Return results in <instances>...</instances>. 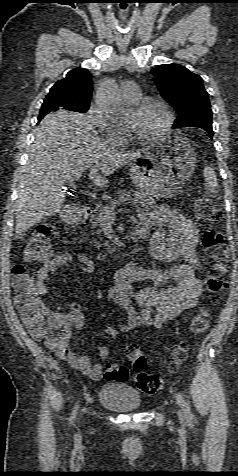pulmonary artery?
Wrapping results in <instances>:
<instances>
[{
  "instance_id": "pulmonary-artery-1",
  "label": "pulmonary artery",
  "mask_w": 238,
  "mask_h": 476,
  "mask_svg": "<svg viewBox=\"0 0 238 476\" xmlns=\"http://www.w3.org/2000/svg\"><path fill=\"white\" fill-rule=\"evenodd\" d=\"M121 94L123 99L130 103L136 102L141 96L139 86L133 81H126L122 83Z\"/></svg>"
}]
</instances>
